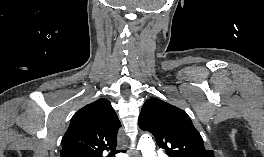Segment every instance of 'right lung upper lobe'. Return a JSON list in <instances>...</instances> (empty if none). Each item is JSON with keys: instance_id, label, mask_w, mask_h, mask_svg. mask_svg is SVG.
Here are the masks:
<instances>
[{"instance_id": "cb5924a9", "label": "right lung upper lobe", "mask_w": 264, "mask_h": 157, "mask_svg": "<svg viewBox=\"0 0 264 157\" xmlns=\"http://www.w3.org/2000/svg\"><path fill=\"white\" fill-rule=\"evenodd\" d=\"M120 126L109 100L84 106L71 119L62 139L61 157H103V151L115 150Z\"/></svg>"}]
</instances>
